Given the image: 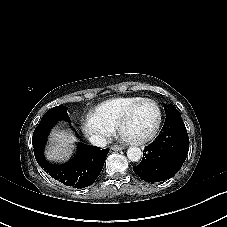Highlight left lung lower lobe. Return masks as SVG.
<instances>
[{
    "mask_svg": "<svg viewBox=\"0 0 227 227\" xmlns=\"http://www.w3.org/2000/svg\"><path fill=\"white\" fill-rule=\"evenodd\" d=\"M189 150V137L181 117H166L161 133L143 154L134 172L146 182L165 181L182 167Z\"/></svg>",
    "mask_w": 227,
    "mask_h": 227,
    "instance_id": "left-lung-lower-lobe-1",
    "label": "left lung lower lobe"
}]
</instances>
